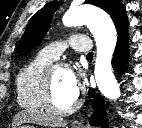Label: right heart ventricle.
I'll use <instances>...</instances> for the list:
<instances>
[{"label": "right heart ventricle", "mask_w": 142, "mask_h": 128, "mask_svg": "<svg viewBox=\"0 0 142 128\" xmlns=\"http://www.w3.org/2000/svg\"><path fill=\"white\" fill-rule=\"evenodd\" d=\"M52 60L39 53L16 77V95L20 106L30 110L45 109L42 93L46 70Z\"/></svg>", "instance_id": "right-heart-ventricle-1"}]
</instances>
